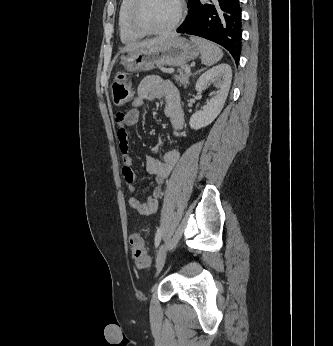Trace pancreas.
I'll list each match as a JSON object with an SVG mask.
<instances>
[{
  "label": "pancreas",
  "instance_id": "pancreas-1",
  "mask_svg": "<svg viewBox=\"0 0 333 346\" xmlns=\"http://www.w3.org/2000/svg\"><path fill=\"white\" fill-rule=\"evenodd\" d=\"M185 68H186V66H181L177 70L178 74L174 75V79L177 83H179L180 85H183L186 88L189 84V78H190L191 74L186 73Z\"/></svg>",
  "mask_w": 333,
  "mask_h": 346
}]
</instances>
